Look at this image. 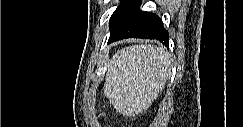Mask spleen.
Listing matches in <instances>:
<instances>
[{
    "label": "spleen",
    "instance_id": "obj_1",
    "mask_svg": "<svg viewBox=\"0 0 243 127\" xmlns=\"http://www.w3.org/2000/svg\"><path fill=\"white\" fill-rule=\"evenodd\" d=\"M163 47L135 45L118 51L107 64L104 94L122 114L139 113L155 99L169 76Z\"/></svg>",
    "mask_w": 243,
    "mask_h": 127
}]
</instances>
